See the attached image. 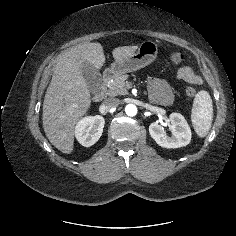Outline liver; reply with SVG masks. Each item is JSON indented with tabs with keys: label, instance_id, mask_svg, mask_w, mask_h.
<instances>
[{
	"label": "liver",
	"instance_id": "obj_1",
	"mask_svg": "<svg viewBox=\"0 0 236 236\" xmlns=\"http://www.w3.org/2000/svg\"><path fill=\"white\" fill-rule=\"evenodd\" d=\"M137 49L138 46H122L113 49L112 55L115 60H121ZM84 62L97 69L105 64L100 43L78 44L59 56L44 97V132L51 144L65 154L73 151L76 125L91 105L90 90L81 70Z\"/></svg>",
	"mask_w": 236,
	"mask_h": 236
}]
</instances>
